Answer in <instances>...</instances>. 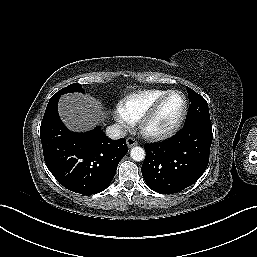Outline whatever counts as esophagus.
<instances>
[{"label":"esophagus","instance_id":"1","mask_svg":"<svg viewBox=\"0 0 257 257\" xmlns=\"http://www.w3.org/2000/svg\"><path fill=\"white\" fill-rule=\"evenodd\" d=\"M126 144L129 148L133 147V146H136L138 143L136 141L135 138L133 137H128L127 140H126Z\"/></svg>","mask_w":257,"mask_h":257}]
</instances>
